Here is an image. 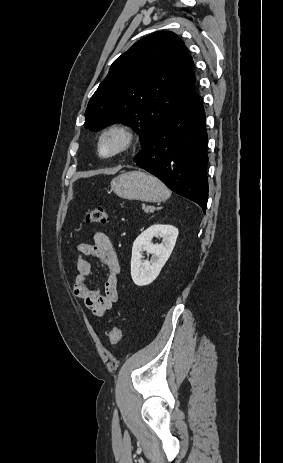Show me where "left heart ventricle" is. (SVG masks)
Returning <instances> with one entry per match:
<instances>
[{"label": "left heart ventricle", "instance_id": "1", "mask_svg": "<svg viewBox=\"0 0 283 463\" xmlns=\"http://www.w3.org/2000/svg\"><path fill=\"white\" fill-rule=\"evenodd\" d=\"M118 142H119L118 137L113 136V137L107 138L102 145V148H101L102 153H108L111 150H113L117 146Z\"/></svg>", "mask_w": 283, "mask_h": 463}]
</instances>
